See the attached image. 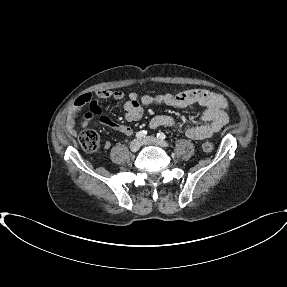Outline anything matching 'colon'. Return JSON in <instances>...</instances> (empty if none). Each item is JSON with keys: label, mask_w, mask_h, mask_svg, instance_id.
Returning a JSON list of instances; mask_svg holds the SVG:
<instances>
[{"label": "colon", "mask_w": 287, "mask_h": 287, "mask_svg": "<svg viewBox=\"0 0 287 287\" xmlns=\"http://www.w3.org/2000/svg\"><path fill=\"white\" fill-rule=\"evenodd\" d=\"M79 143L87 152H95L100 147V137L94 131H84L79 135ZM214 148L212 141L207 140L203 143L202 149L205 152H211Z\"/></svg>", "instance_id": "5ec220e1"}]
</instances>
